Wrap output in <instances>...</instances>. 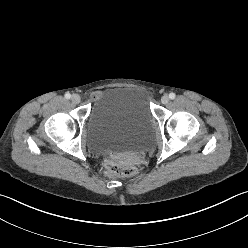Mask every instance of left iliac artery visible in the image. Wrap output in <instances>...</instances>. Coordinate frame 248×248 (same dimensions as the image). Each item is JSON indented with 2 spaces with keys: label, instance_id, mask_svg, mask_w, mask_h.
Here are the masks:
<instances>
[{
  "label": "left iliac artery",
  "instance_id": "obj_1",
  "mask_svg": "<svg viewBox=\"0 0 248 248\" xmlns=\"http://www.w3.org/2000/svg\"><path fill=\"white\" fill-rule=\"evenodd\" d=\"M175 96H176V95H175V93H173V92L169 94V98H170V99H174Z\"/></svg>",
  "mask_w": 248,
  "mask_h": 248
}]
</instances>
